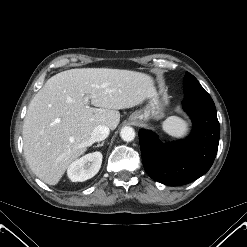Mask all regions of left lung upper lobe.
<instances>
[{
  "label": "left lung upper lobe",
  "mask_w": 247,
  "mask_h": 247,
  "mask_svg": "<svg viewBox=\"0 0 247 247\" xmlns=\"http://www.w3.org/2000/svg\"><path fill=\"white\" fill-rule=\"evenodd\" d=\"M193 78H195L193 75H191L190 73H186L185 74V78H184V80H189V79H193Z\"/></svg>",
  "instance_id": "5c2ea615"
}]
</instances>
